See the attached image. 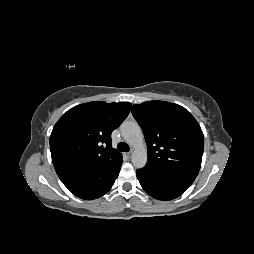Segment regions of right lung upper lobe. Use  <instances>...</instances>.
Here are the masks:
<instances>
[{"mask_svg":"<svg viewBox=\"0 0 254 254\" xmlns=\"http://www.w3.org/2000/svg\"><path fill=\"white\" fill-rule=\"evenodd\" d=\"M130 108L128 102L95 101L68 110L55 124L50 136L56 173L97 167L122 158L111 146V133L127 117Z\"/></svg>","mask_w":254,"mask_h":254,"instance_id":"1","label":"right lung upper lobe"}]
</instances>
